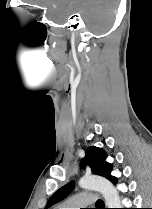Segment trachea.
Masks as SVG:
<instances>
[{
  "instance_id": "1",
  "label": "trachea",
  "mask_w": 152,
  "mask_h": 209,
  "mask_svg": "<svg viewBox=\"0 0 152 209\" xmlns=\"http://www.w3.org/2000/svg\"><path fill=\"white\" fill-rule=\"evenodd\" d=\"M103 206H104V202L101 199L97 200L96 207L100 208V207H103Z\"/></svg>"
}]
</instances>
